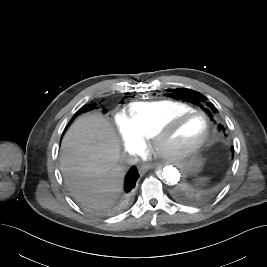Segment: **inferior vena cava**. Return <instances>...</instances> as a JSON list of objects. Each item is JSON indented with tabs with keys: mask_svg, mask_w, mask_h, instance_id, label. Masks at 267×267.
<instances>
[{
	"mask_svg": "<svg viewBox=\"0 0 267 267\" xmlns=\"http://www.w3.org/2000/svg\"><path fill=\"white\" fill-rule=\"evenodd\" d=\"M122 161L128 165H135L138 163L139 159L135 154H124L122 155Z\"/></svg>",
	"mask_w": 267,
	"mask_h": 267,
	"instance_id": "1",
	"label": "inferior vena cava"
}]
</instances>
